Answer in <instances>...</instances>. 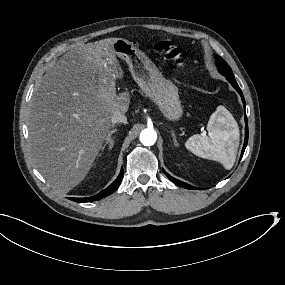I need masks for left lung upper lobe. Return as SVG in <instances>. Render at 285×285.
Segmentation results:
<instances>
[{"label":"left lung upper lobe","mask_w":285,"mask_h":285,"mask_svg":"<svg viewBox=\"0 0 285 285\" xmlns=\"http://www.w3.org/2000/svg\"><path fill=\"white\" fill-rule=\"evenodd\" d=\"M216 66L218 71L227 78V80L234 79V75L232 73L231 68L228 66L226 61L222 59L220 56H216Z\"/></svg>","instance_id":"1"}]
</instances>
